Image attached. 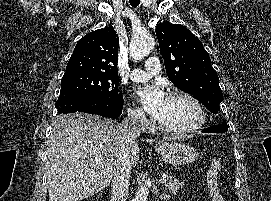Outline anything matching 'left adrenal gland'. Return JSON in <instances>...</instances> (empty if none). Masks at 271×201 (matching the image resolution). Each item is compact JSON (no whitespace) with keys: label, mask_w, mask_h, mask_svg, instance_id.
Segmentation results:
<instances>
[{"label":"left adrenal gland","mask_w":271,"mask_h":201,"mask_svg":"<svg viewBox=\"0 0 271 201\" xmlns=\"http://www.w3.org/2000/svg\"><path fill=\"white\" fill-rule=\"evenodd\" d=\"M160 198H161L162 200H167V199L169 198V195L166 194V193H163V194L160 195Z\"/></svg>","instance_id":"obj_1"}]
</instances>
